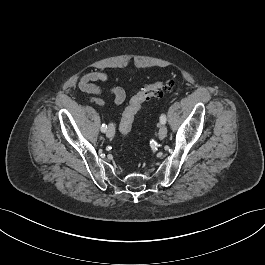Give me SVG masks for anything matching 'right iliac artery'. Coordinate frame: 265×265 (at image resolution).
Wrapping results in <instances>:
<instances>
[{
  "label": "right iliac artery",
  "instance_id": "right-iliac-artery-1",
  "mask_svg": "<svg viewBox=\"0 0 265 265\" xmlns=\"http://www.w3.org/2000/svg\"><path fill=\"white\" fill-rule=\"evenodd\" d=\"M101 131H102V132H106V131H107V125L102 124V126H101Z\"/></svg>",
  "mask_w": 265,
  "mask_h": 265
}]
</instances>
